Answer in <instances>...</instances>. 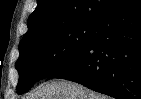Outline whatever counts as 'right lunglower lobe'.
Segmentation results:
<instances>
[{"label":"right lung lower lobe","instance_id":"1","mask_svg":"<svg viewBox=\"0 0 141 99\" xmlns=\"http://www.w3.org/2000/svg\"><path fill=\"white\" fill-rule=\"evenodd\" d=\"M49 78L116 99H141V0H127L99 20L90 42Z\"/></svg>","mask_w":141,"mask_h":99}]
</instances>
